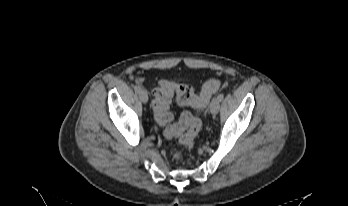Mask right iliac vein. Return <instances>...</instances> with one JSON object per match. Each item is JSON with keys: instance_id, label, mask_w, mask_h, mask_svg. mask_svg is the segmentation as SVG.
Here are the masks:
<instances>
[{"instance_id": "right-iliac-vein-1", "label": "right iliac vein", "mask_w": 348, "mask_h": 206, "mask_svg": "<svg viewBox=\"0 0 348 206\" xmlns=\"http://www.w3.org/2000/svg\"><path fill=\"white\" fill-rule=\"evenodd\" d=\"M139 97L142 103L146 104L148 102V94L145 90L140 91Z\"/></svg>"}]
</instances>
